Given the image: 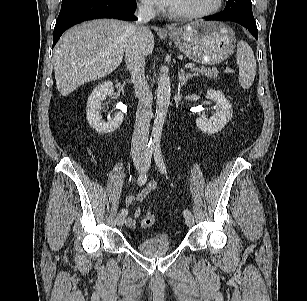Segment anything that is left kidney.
Segmentation results:
<instances>
[{"mask_svg": "<svg viewBox=\"0 0 307 301\" xmlns=\"http://www.w3.org/2000/svg\"><path fill=\"white\" fill-rule=\"evenodd\" d=\"M207 98L216 102L217 111L209 118L200 116L196 119V125L204 133H218L231 119L233 109L223 93L217 90L209 89Z\"/></svg>", "mask_w": 307, "mask_h": 301, "instance_id": "obj_1", "label": "left kidney"}]
</instances>
